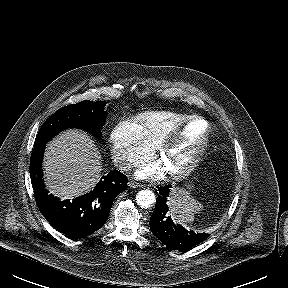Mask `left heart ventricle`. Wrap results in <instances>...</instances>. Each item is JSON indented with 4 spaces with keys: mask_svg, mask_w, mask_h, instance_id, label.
Wrapping results in <instances>:
<instances>
[{
    "mask_svg": "<svg viewBox=\"0 0 288 288\" xmlns=\"http://www.w3.org/2000/svg\"><path fill=\"white\" fill-rule=\"evenodd\" d=\"M205 128V124L201 121H194L186 126L160 158L161 164L167 171L178 169L189 160L200 144Z\"/></svg>",
    "mask_w": 288,
    "mask_h": 288,
    "instance_id": "b2bd125f",
    "label": "left heart ventricle"
}]
</instances>
